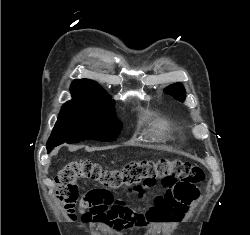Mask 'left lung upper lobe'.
Returning <instances> with one entry per match:
<instances>
[{"instance_id": "obj_1", "label": "left lung upper lobe", "mask_w": 250, "mask_h": 235, "mask_svg": "<svg viewBox=\"0 0 250 235\" xmlns=\"http://www.w3.org/2000/svg\"><path fill=\"white\" fill-rule=\"evenodd\" d=\"M167 94L172 95L175 99L183 102L185 100V89L182 84L176 83L164 90Z\"/></svg>"}]
</instances>
